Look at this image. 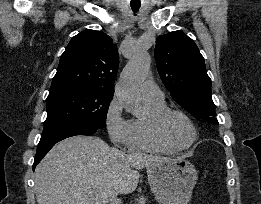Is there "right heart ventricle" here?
<instances>
[{"mask_svg":"<svg viewBox=\"0 0 261 204\" xmlns=\"http://www.w3.org/2000/svg\"><path fill=\"white\" fill-rule=\"evenodd\" d=\"M168 108L164 99L145 100L144 114L130 120L129 144L132 150L152 153H174L175 150L164 144L156 135L155 119Z\"/></svg>","mask_w":261,"mask_h":204,"instance_id":"1","label":"right heart ventricle"}]
</instances>
